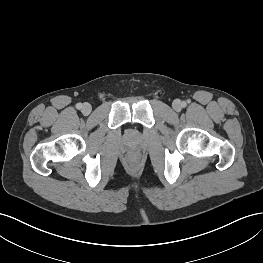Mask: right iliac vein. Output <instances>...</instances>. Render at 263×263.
Masks as SVG:
<instances>
[{
  "mask_svg": "<svg viewBox=\"0 0 263 263\" xmlns=\"http://www.w3.org/2000/svg\"><path fill=\"white\" fill-rule=\"evenodd\" d=\"M81 111L84 115H89L92 111V107L89 103H84L82 105Z\"/></svg>",
  "mask_w": 263,
  "mask_h": 263,
  "instance_id": "right-iliac-vein-1",
  "label": "right iliac vein"
}]
</instances>
